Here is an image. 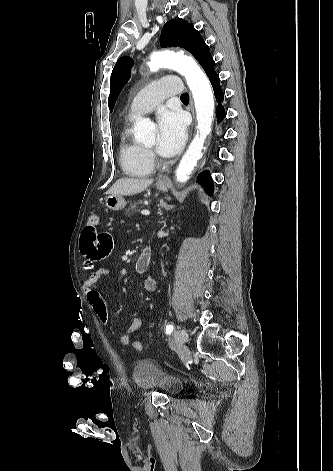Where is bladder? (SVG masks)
Here are the masks:
<instances>
[{
	"mask_svg": "<svg viewBox=\"0 0 333 471\" xmlns=\"http://www.w3.org/2000/svg\"><path fill=\"white\" fill-rule=\"evenodd\" d=\"M132 380L139 389L158 390L168 396H175L184 389L182 379L146 359L135 363Z\"/></svg>",
	"mask_w": 333,
	"mask_h": 471,
	"instance_id": "1",
	"label": "bladder"
}]
</instances>
